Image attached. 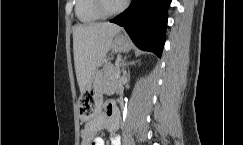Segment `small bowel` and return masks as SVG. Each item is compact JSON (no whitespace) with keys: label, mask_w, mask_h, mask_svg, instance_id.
<instances>
[{"label":"small bowel","mask_w":243,"mask_h":145,"mask_svg":"<svg viewBox=\"0 0 243 145\" xmlns=\"http://www.w3.org/2000/svg\"><path fill=\"white\" fill-rule=\"evenodd\" d=\"M120 126V115L112 102H106L104 111L89 120L82 131L81 145H105L103 138L98 136L102 130L110 132L111 145H121L117 130Z\"/></svg>","instance_id":"small-bowel-1"}]
</instances>
